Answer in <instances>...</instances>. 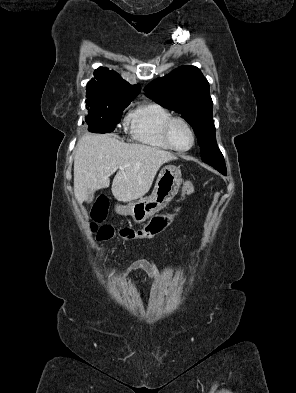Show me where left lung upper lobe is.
I'll return each instance as SVG.
<instances>
[{
    "mask_svg": "<svg viewBox=\"0 0 296 393\" xmlns=\"http://www.w3.org/2000/svg\"><path fill=\"white\" fill-rule=\"evenodd\" d=\"M144 91L148 98L182 114L197 136L202 160L220 172L226 171L216 143L209 83L197 67L181 66L152 81Z\"/></svg>",
    "mask_w": 296,
    "mask_h": 393,
    "instance_id": "left-lung-upper-lobe-1",
    "label": "left lung upper lobe"
}]
</instances>
